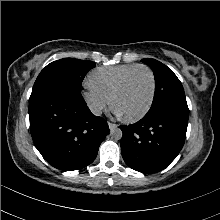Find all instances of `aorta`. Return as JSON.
Segmentation results:
<instances>
[{
  "instance_id": "aorta-1",
  "label": "aorta",
  "mask_w": 220,
  "mask_h": 220,
  "mask_svg": "<svg viewBox=\"0 0 220 220\" xmlns=\"http://www.w3.org/2000/svg\"><path fill=\"white\" fill-rule=\"evenodd\" d=\"M122 135L123 133L120 128L115 127L110 130V136L115 140H120L122 138Z\"/></svg>"
}]
</instances>
